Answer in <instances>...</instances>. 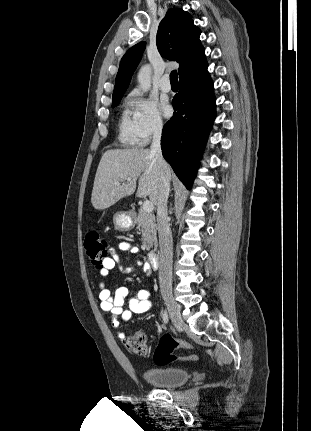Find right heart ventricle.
I'll use <instances>...</instances> for the list:
<instances>
[{"mask_svg":"<svg viewBox=\"0 0 311 431\" xmlns=\"http://www.w3.org/2000/svg\"><path fill=\"white\" fill-rule=\"evenodd\" d=\"M140 137V129L132 115V111L128 109L122 110L117 127L119 143L125 147H134L139 144Z\"/></svg>","mask_w":311,"mask_h":431,"instance_id":"e07e8e85","label":"right heart ventricle"}]
</instances>
